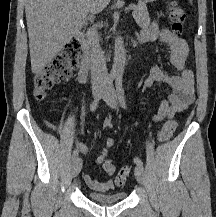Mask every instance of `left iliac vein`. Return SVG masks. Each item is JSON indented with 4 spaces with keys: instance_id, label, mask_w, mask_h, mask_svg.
Segmentation results:
<instances>
[{
    "instance_id": "obj_1",
    "label": "left iliac vein",
    "mask_w": 216,
    "mask_h": 217,
    "mask_svg": "<svg viewBox=\"0 0 216 217\" xmlns=\"http://www.w3.org/2000/svg\"><path fill=\"white\" fill-rule=\"evenodd\" d=\"M103 100L106 102L107 105H109L111 108H116L117 107V96L116 92L113 86H110L104 93ZM135 177L136 180L139 183H143L144 180V170L142 166H136L135 170Z\"/></svg>"
}]
</instances>
